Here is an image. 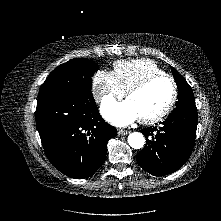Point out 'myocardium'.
I'll return each mask as SVG.
<instances>
[{"instance_id": "obj_1", "label": "myocardium", "mask_w": 221, "mask_h": 221, "mask_svg": "<svg viewBox=\"0 0 221 221\" xmlns=\"http://www.w3.org/2000/svg\"><path fill=\"white\" fill-rule=\"evenodd\" d=\"M160 78H166L168 79L171 84H172V96L169 100V102L167 103V105L164 107V109L159 112L158 114L152 116V117H148V118H139L140 122L143 124H155L160 122L161 120H163L172 110V108L174 107L177 98H178V86L177 83L175 81V79L167 74V73H157V74H153L148 76L147 78H145L144 80H142L141 82H139L138 84H136L135 86L131 87L129 90L126 91V97L128 99V97L132 94L138 93L142 90H144L145 88H147L152 82H154L157 79Z\"/></svg>"}]
</instances>
